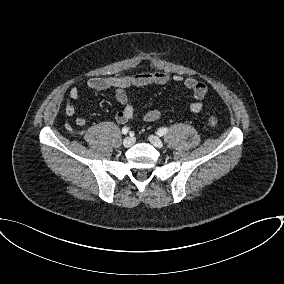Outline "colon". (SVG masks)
I'll return each instance as SVG.
<instances>
[{
    "instance_id": "1",
    "label": "colon",
    "mask_w": 284,
    "mask_h": 284,
    "mask_svg": "<svg viewBox=\"0 0 284 284\" xmlns=\"http://www.w3.org/2000/svg\"><path fill=\"white\" fill-rule=\"evenodd\" d=\"M209 124L212 126V127H216L218 125V120L216 117H214L213 115H210L209 116Z\"/></svg>"
}]
</instances>
